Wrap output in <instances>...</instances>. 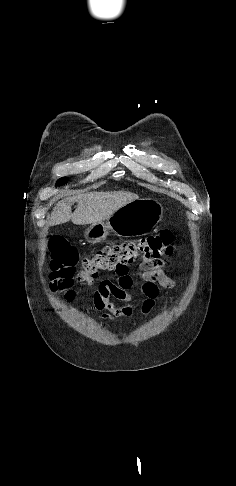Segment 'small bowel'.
I'll return each mask as SVG.
<instances>
[{"label":"small bowel","mask_w":236,"mask_h":486,"mask_svg":"<svg viewBox=\"0 0 236 486\" xmlns=\"http://www.w3.org/2000/svg\"><path fill=\"white\" fill-rule=\"evenodd\" d=\"M142 279L141 290L146 299L138 302L135 296L129 292L134 286V278L129 272V265L122 270L115 271L114 280L104 279L100 281L93 296V306L96 310L107 311L102 315L105 320H113L118 317H132L138 311L143 316L148 315L155 306L159 296L160 287L172 288V279L165 274L163 262L159 260H145L140 266ZM114 297L128 303L126 306H115L110 298Z\"/></svg>","instance_id":"c3829d8e"}]
</instances>
